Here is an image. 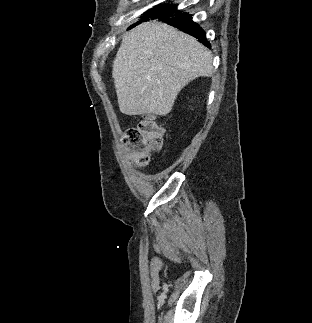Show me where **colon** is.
<instances>
[{
    "instance_id": "5ec220e1",
    "label": "colon",
    "mask_w": 312,
    "mask_h": 323,
    "mask_svg": "<svg viewBox=\"0 0 312 323\" xmlns=\"http://www.w3.org/2000/svg\"><path fill=\"white\" fill-rule=\"evenodd\" d=\"M126 137L130 146L135 149L134 161H129L128 166L140 168L149 162L150 153L161 147L163 131L155 122L146 118L137 127L128 129Z\"/></svg>"
}]
</instances>
